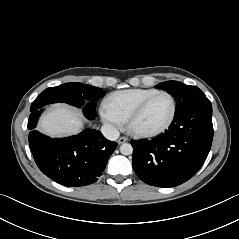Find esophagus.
<instances>
[{"instance_id":"34e87169","label":"esophagus","mask_w":239,"mask_h":239,"mask_svg":"<svg viewBox=\"0 0 239 239\" xmlns=\"http://www.w3.org/2000/svg\"><path fill=\"white\" fill-rule=\"evenodd\" d=\"M127 141H128L127 137H120L117 142H118V144H123V143H125Z\"/></svg>"}]
</instances>
